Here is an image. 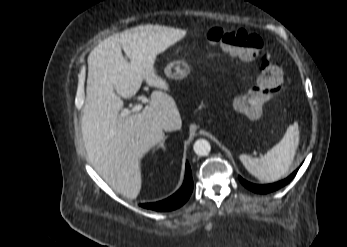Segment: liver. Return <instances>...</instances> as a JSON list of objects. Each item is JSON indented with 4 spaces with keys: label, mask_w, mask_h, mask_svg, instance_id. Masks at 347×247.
<instances>
[{
    "label": "liver",
    "mask_w": 347,
    "mask_h": 247,
    "mask_svg": "<svg viewBox=\"0 0 347 247\" xmlns=\"http://www.w3.org/2000/svg\"><path fill=\"white\" fill-rule=\"evenodd\" d=\"M185 34V30L167 26H138L107 37L89 54L81 119L85 149L97 173L130 199L141 190L142 158L164 140L161 122L171 119L178 130L182 121L174 99L162 91L152 92L150 104L141 112L119 120L124 106L121 98L134 96L142 81L168 90L167 82L156 74V56Z\"/></svg>",
    "instance_id": "liver-1"
}]
</instances>
